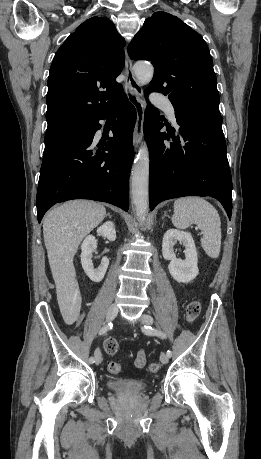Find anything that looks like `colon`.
<instances>
[{"label":"colon","mask_w":261,"mask_h":459,"mask_svg":"<svg viewBox=\"0 0 261 459\" xmlns=\"http://www.w3.org/2000/svg\"><path fill=\"white\" fill-rule=\"evenodd\" d=\"M201 312V303L199 301H192L188 303L186 307V318L189 322H194ZM104 350L107 354L113 355L117 353L119 349L118 342L114 338H107L103 344ZM106 368L111 373H119L121 371V365L116 361H110L107 363ZM149 371L151 373H157L160 369V365L157 362H153L149 365Z\"/></svg>","instance_id":"colon-1"}]
</instances>
